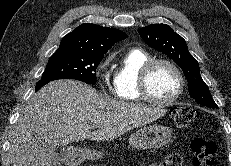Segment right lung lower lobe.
<instances>
[{
  "mask_svg": "<svg viewBox=\"0 0 231 166\" xmlns=\"http://www.w3.org/2000/svg\"><path fill=\"white\" fill-rule=\"evenodd\" d=\"M49 82L50 81H45V80L38 81V83L36 84V87H35V91H38L41 87H43L44 85H46Z\"/></svg>",
  "mask_w": 231,
  "mask_h": 166,
  "instance_id": "1",
  "label": "right lung lower lobe"
}]
</instances>
